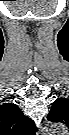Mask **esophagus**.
Wrapping results in <instances>:
<instances>
[{"label":"esophagus","instance_id":"obj_1","mask_svg":"<svg viewBox=\"0 0 69 135\" xmlns=\"http://www.w3.org/2000/svg\"><path fill=\"white\" fill-rule=\"evenodd\" d=\"M44 131H46V127H43V128H42V132H44Z\"/></svg>","mask_w":69,"mask_h":135}]
</instances>
